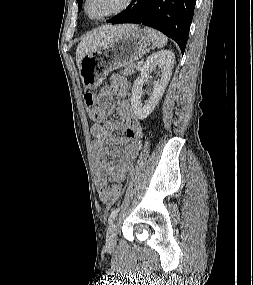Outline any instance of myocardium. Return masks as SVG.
I'll use <instances>...</instances> for the list:
<instances>
[{
    "label": "myocardium",
    "instance_id": "obj_1",
    "mask_svg": "<svg viewBox=\"0 0 253 285\" xmlns=\"http://www.w3.org/2000/svg\"><path fill=\"white\" fill-rule=\"evenodd\" d=\"M134 0H125L123 5L110 12V13H107V14H104L102 16H98V17H92L89 13H88V3H89V0H84V4H83V9H84V13L85 15L90 19V20H93V21H101V20H104V19H107V18H110V17H113V16H116L124 11H126L129 7H131V5L133 4Z\"/></svg>",
    "mask_w": 253,
    "mask_h": 285
}]
</instances>
